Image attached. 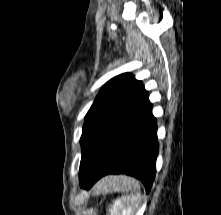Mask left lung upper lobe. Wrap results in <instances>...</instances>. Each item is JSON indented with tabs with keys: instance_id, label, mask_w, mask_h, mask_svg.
<instances>
[{
	"instance_id": "left-lung-upper-lobe-1",
	"label": "left lung upper lobe",
	"mask_w": 221,
	"mask_h": 215,
	"mask_svg": "<svg viewBox=\"0 0 221 215\" xmlns=\"http://www.w3.org/2000/svg\"><path fill=\"white\" fill-rule=\"evenodd\" d=\"M144 85L128 73L109 80L85 116L82 136L80 180L89 172L104 139L116 118L144 92Z\"/></svg>"
}]
</instances>
